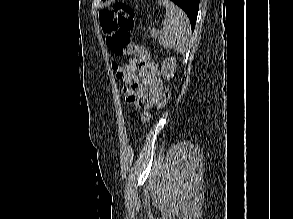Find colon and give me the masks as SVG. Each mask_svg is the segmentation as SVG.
I'll return each instance as SVG.
<instances>
[{"label": "colon", "mask_w": 293, "mask_h": 219, "mask_svg": "<svg viewBox=\"0 0 293 219\" xmlns=\"http://www.w3.org/2000/svg\"><path fill=\"white\" fill-rule=\"evenodd\" d=\"M99 20L108 48L115 55L132 57L123 67L115 62L112 64L117 77L123 78L128 73L142 70L149 63V56L144 47L131 41L129 32L134 28L136 22L133 9L126 3L116 2L111 7L100 11ZM170 98L171 90L166 88L158 108L166 106Z\"/></svg>", "instance_id": "obj_1"}]
</instances>
